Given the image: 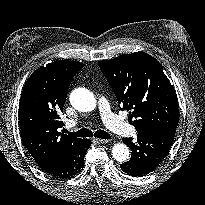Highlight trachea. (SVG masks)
I'll use <instances>...</instances> for the list:
<instances>
[{
  "label": "trachea",
  "mask_w": 205,
  "mask_h": 205,
  "mask_svg": "<svg viewBox=\"0 0 205 205\" xmlns=\"http://www.w3.org/2000/svg\"><path fill=\"white\" fill-rule=\"evenodd\" d=\"M70 136L73 137H96L100 139H111L110 134H108L104 130H97L95 133H93L90 129L82 128L76 132H68Z\"/></svg>",
  "instance_id": "3493384b"
}]
</instances>
